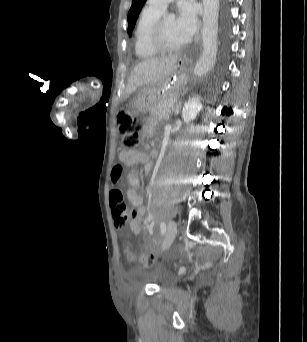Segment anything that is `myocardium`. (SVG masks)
Listing matches in <instances>:
<instances>
[{"instance_id": "1", "label": "myocardium", "mask_w": 307, "mask_h": 342, "mask_svg": "<svg viewBox=\"0 0 307 342\" xmlns=\"http://www.w3.org/2000/svg\"><path fill=\"white\" fill-rule=\"evenodd\" d=\"M166 17L160 16L158 17L152 24L150 32H149V45L153 48L158 54L165 56H175L182 52V49L178 50H170L167 49L161 40L162 28L166 21Z\"/></svg>"}]
</instances>
